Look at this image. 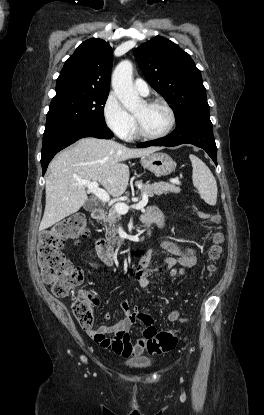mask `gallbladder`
<instances>
[{"label": "gallbladder", "mask_w": 264, "mask_h": 415, "mask_svg": "<svg viewBox=\"0 0 264 415\" xmlns=\"http://www.w3.org/2000/svg\"><path fill=\"white\" fill-rule=\"evenodd\" d=\"M84 208H85L86 210H92V209H94V208H95V204L93 203V201H92V200H88V201H86V203L84 204Z\"/></svg>", "instance_id": "1"}]
</instances>
